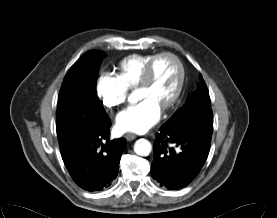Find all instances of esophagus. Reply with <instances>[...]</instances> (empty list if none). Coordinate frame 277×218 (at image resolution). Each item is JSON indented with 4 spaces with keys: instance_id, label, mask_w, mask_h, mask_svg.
<instances>
[{
    "instance_id": "34e87169",
    "label": "esophagus",
    "mask_w": 277,
    "mask_h": 218,
    "mask_svg": "<svg viewBox=\"0 0 277 218\" xmlns=\"http://www.w3.org/2000/svg\"><path fill=\"white\" fill-rule=\"evenodd\" d=\"M124 138L127 140V141H132L136 138V135L135 134H132V133H127Z\"/></svg>"
}]
</instances>
